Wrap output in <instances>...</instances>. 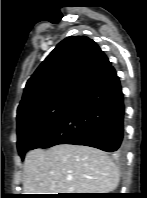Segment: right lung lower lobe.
Masks as SVG:
<instances>
[{
  "mask_svg": "<svg viewBox=\"0 0 147 198\" xmlns=\"http://www.w3.org/2000/svg\"><path fill=\"white\" fill-rule=\"evenodd\" d=\"M123 138L124 99L119 78L111 66L32 149L58 144L85 145L120 159L124 156Z\"/></svg>",
  "mask_w": 147,
  "mask_h": 198,
  "instance_id": "98d812e1",
  "label": "right lung lower lobe"
}]
</instances>
